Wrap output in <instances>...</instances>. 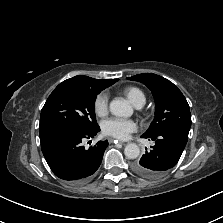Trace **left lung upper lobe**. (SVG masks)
<instances>
[{"label": "left lung upper lobe", "instance_id": "1", "mask_svg": "<svg viewBox=\"0 0 223 223\" xmlns=\"http://www.w3.org/2000/svg\"><path fill=\"white\" fill-rule=\"evenodd\" d=\"M127 79L145 84L155 100V117L144 136H154L168 129L189 133L191 127L189 105L176 85L153 73L138 74Z\"/></svg>", "mask_w": 223, "mask_h": 223}]
</instances>
